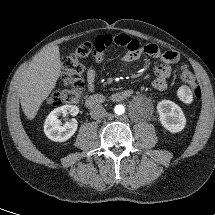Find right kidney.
Segmentation results:
<instances>
[{"mask_svg": "<svg viewBox=\"0 0 215 215\" xmlns=\"http://www.w3.org/2000/svg\"><path fill=\"white\" fill-rule=\"evenodd\" d=\"M70 113L75 116L79 113V108L74 105H64L54 109L46 118L44 123L45 135L56 142H64L71 138L77 130L78 124L76 119L62 124L59 117Z\"/></svg>", "mask_w": 215, "mask_h": 215, "instance_id": "obj_1", "label": "right kidney"}]
</instances>
